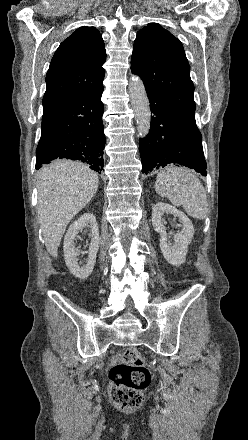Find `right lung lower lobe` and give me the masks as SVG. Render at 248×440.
Listing matches in <instances>:
<instances>
[{"mask_svg": "<svg viewBox=\"0 0 248 440\" xmlns=\"http://www.w3.org/2000/svg\"><path fill=\"white\" fill-rule=\"evenodd\" d=\"M102 92L103 87L43 107L37 170L57 158L80 160L98 173L103 170Z\"/></svg>", "mask_w": 248, "mask_h": 440, "instance_id": "right-lung-lower-lobe-1", "label": "right lung lower lobe"}]
</instances>
